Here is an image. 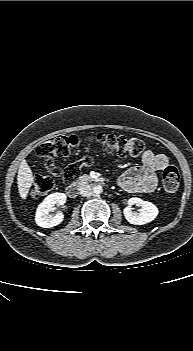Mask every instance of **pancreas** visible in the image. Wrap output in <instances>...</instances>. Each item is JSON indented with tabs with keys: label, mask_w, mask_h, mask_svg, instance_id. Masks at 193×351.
I'll return each mask as SVG.
<instances>
[{
	"label": "pancreas",
	"mask_w": 193,
	"mask_h": 351,
	"mask_svg": "<svg viewBox=\"0 0 193 351\" xmlns=\"http://www.w3.org/2000/svg\"><path fill=\"white\" fill-rule=\"evenodd\" d=\"M89 179H90V178H89L88 175H83V176L80 177V181H87V180H89Z\"/></svg>",
	"instance_id": "1"
}]
</instances>
